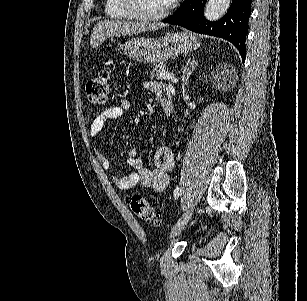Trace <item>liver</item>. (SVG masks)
Segmentation results:
<instances>
[{
	"instance_id": "liver-1",
	"label": "liver",
	"mask_w": 307,
	"mask_h": 301,
	"mask_svg": "<svg viewBox=\"0 0 307 301\" xmlns=\"http://www.w3.org/2000/svg\"><path fill=\"white\" fill-rule=\"evenodd\" d=\"M163 26H167V24H163V22H148V20H140V22H131V20H99L97 24H94L90 44L92 48H97L109 36L138 34V32H146V30H159Z\"/></svg>"
}]
</instances>
